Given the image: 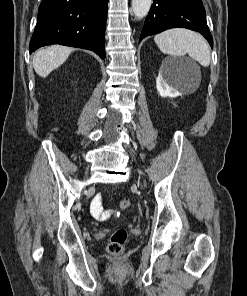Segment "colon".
Masks as SVG:
<instances>
[{"instance_id":"colon-1","label":"colon","mask_w":247,"mask_h":296,"mask_svg":"<svg viewBox=\"0 0 247 296\" xmlns=\"http://www.w3.org/2000/svg\"><path fill=\"white\" fill-rule=\"evenodd\" d=\"M131 205V199L129 197L123 198L116 207L110 209L107 213H104L103 216L116 215L119 210L125 209ZM128 235L125 229L116 230L110 238L108 244V252L112 255H119L124 248V245L127 241Z\"/></svg>"}]
</instances>
